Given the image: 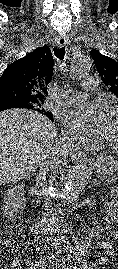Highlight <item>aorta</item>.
<instances>
[{"label": "aorta", "instance_id": "1", "mask_svg": "<svg viewBox=\"0 0 118 269\" xmlns=\"http://www.w3.org/2000/svg\"><path fill=\"white\" fill-rule=\"evenodd\" d=\"M92 67V60L87 55H79L71 65V76L73 79H80L88 74ZM89 177V171L84 167L74 168L67 176L65 188L68 191L79 188Z\"/></svg>", "mask_w": 118, "mask_h": 269}]
</instances>
